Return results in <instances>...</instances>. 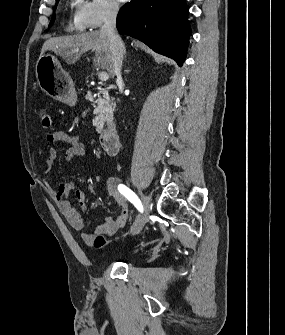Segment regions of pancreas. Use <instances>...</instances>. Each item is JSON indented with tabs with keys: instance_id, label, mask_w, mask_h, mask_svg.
Wrapping results in <instances>:
<instances>
[{
	"instance_id": "cf45deb5",
	"label": "pancreas",
	"mask_w": 285,
	"mask_h": 335,
	"mask_svg": "<svg viewBox=\"0 0 285 335\" xmlns=\"http://www.w3.org/2000/svg\"><path fill=\"white\" fill-rule=\"evenodd\" d=\"M87 91H90V88H87ZM100 94H106V92H100ZM97 108H95V112L93 114L92 124L93 125H106L110 124L114 112L113 104H110V98L106 96L101 98L98 96V100H96Z\"/></svg>"
}]
</instances>
